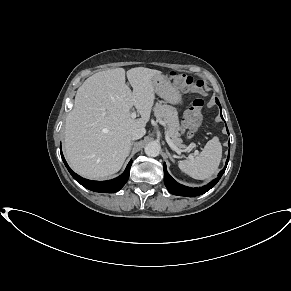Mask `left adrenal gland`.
<instances>
[{"mask_svg":"<svg viewBox=\"0 0 291 291\" xmlns=\"http://www.w3.org/2000/svg\"><path fill=\"white\" fill-rule=\"evenodd\" d=\"M166 152H167V154H168L170 160L174 163L175 161H174L173 157L171 156V154L169 153V151H168L167 149H166Z\"/></svg>","mask_w":291,"mask_h":291,"instance_id":"a2214340","label":"left adrenal gland"}]
</instances>
